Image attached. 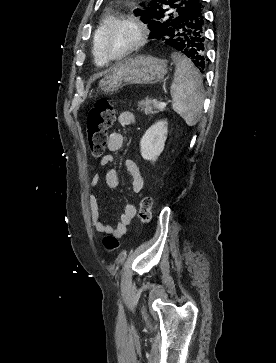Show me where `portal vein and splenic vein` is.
I'll return each mask as SVG.
<instances>
[{
	"label": "portal vein and splenic vein",
	"mask_w": 276,
	"mask_h": 363,
	"mask_svg": "<svg viewBox=\"0 0 276 363\" xmlns=\"http://www.w3.org/2000/svg\"><path fill=\"white\" fill-rule=\"evenodd\" d=\"M167 103L162 101V102H159L158 103V106L161 108V109H164L166 107Z\"/></svg>",
	"instance_id": "18ae733b"
}]
</instances>
